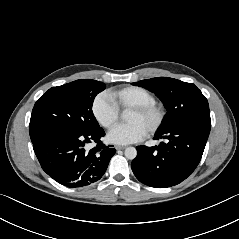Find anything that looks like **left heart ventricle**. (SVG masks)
I'll use <instances>...</instances> for the list:
<instances>
[{
	"label": "left heart ventricle",
	"instance_id": "obj_1",
	"mask_svg": "<svg viewBox=\"0 0 239 239\" xmlns=\"http://www.w3.org/2000/svg\"><path fill=\"white\" fill-rule=\"evenodd\" d=\"M127 121L129 123H138L148 131V129L153 124L154 118L152 115L130 111L127 115Z\"/></svg>",
	"mask_w": 239,
	"mask_h": 239
}]
</instances>
